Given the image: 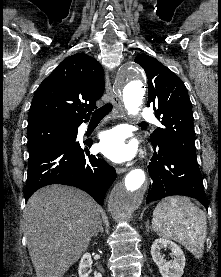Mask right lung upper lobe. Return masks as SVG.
<instances>
[{
  "label": "right lung upper lobe",
  "mask_w": 221,
  "mask_h": 277,
  "mask_svg": "<svg viewBox=\"0 0 221 277\" xmlns=\"http://www.w3.org/2000/svg\"><path fill=\"white\" fill-rule=\"evenodd\" d=\"M104 92V71L94 58L78 53L67 57L38 87L28 125L55 121L78 124L89 120Z\"/></svg>",
  "instance_id": "obj_1"
}]
</instances>
